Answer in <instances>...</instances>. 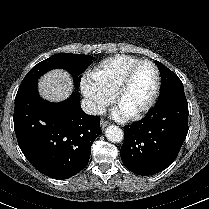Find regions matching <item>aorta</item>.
<instances>
[{"label": "aorta", "mask_w": 209, "mask_h": 209, "mask_svg": "<svg viewBox=\"0 0 209 209\" xmlns=\"http://www.w3.org/2000/svg\"><path fill=\"white\" fill-rule=\"evenodd\" d=\"M106 138L114 143L121 142L123 140V131L116 125H110L105 131Z\"/></svg>", "instance_id": "1"}]
</instances>
